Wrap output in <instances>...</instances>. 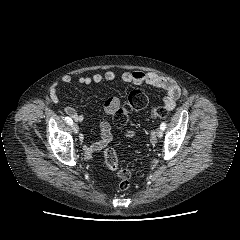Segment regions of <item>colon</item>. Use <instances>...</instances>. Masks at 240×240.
<instances>
[{
    "label": "colon",
    "instance_id": "obj_1",
    "mask_svg": "<svg viewBox=\"0 0 240 240\" xmlns=\"http://www.w3.org/2000/svg\"><path fill=\"white\" fill-rule=\"evenodd\" d=\"M148 104V98L144 92L141 90H134L130 92L127 97V100L123 106H120L119 109L113 115V122L117 128H122L126 125L130 111L132 110H141L144 109ZM167 109L162 106H156L151 110V116L154 119H163L167 117ZM104 159L106 165L113 171L117 172V175L120 178L119 188L120 190H127L130 188L132 172L126 168H120L118 162V155L114 148H107L104 151ZM139 175H143V171H138Z\"/></svg>",
    "mask_w": 240,
    "mask_h": 240
}]
</instances>
